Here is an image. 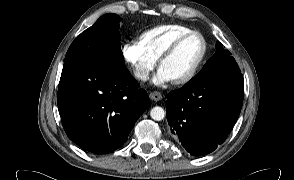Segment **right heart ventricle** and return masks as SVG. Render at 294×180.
Returning <instances> with one entry per match:
<instances>
[{
	"label": "right heart ventricle",
	"instance_id": "e07e8e85",
	"mask_svg": "<svg viewBox=\"0 0 294 180\" xmlns=\"http://www.w3.org/2000/svg\"><path fill=\"white\" fill-rule=\"evenodd\" d=\"M191 30V28L182 24L159 25L140 32L139 42L150 55L159 59L177 37Z\"/></svg>",
	"mask_w": 294,
	"mask_h": 180
}]
</instances>
